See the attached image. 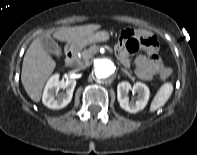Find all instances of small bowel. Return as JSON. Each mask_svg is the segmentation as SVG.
Wrapping results in <instances>:
<instances>
[{
    "instance_id": "c3829d8e",
    "label": "small bowel",
    "mask_w": 197,
    "mask_h": 155,
    "mask_svg": "<svg viewBox=\"0 0 197 155\" xmlns=\"http://www.w3.org/2000/svg\"><path fill=\"white\" fill-rule=\"evenodd\" d=\"M134 31V30H133ZM135 36L141 37L138 32L134 31ZM148 48L147 55H138L134 62L130 58V49L128 46V40L121 38L120 42L116 45V53L125 66H131L134 64L136 74L143 80H150L155 75H162L166 67L158 54L157 45L150 44L149 46H143Z\"/></svg>"
}]
</instances>
